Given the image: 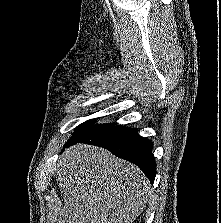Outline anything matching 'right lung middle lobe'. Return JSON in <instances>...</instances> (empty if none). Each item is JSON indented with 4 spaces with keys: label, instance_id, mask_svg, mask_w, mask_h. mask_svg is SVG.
<instances>
[{
    "label": "right lung middle lobe",
    "instance_id": "right-lung-middle-lobe-1",
    "mask_svg": "<svg viewBox=\"0 0 221 223\" xmlns=\"http://www.w3.org/2000/svg\"><path fill=\"white\" fill-rule=\"evenodd\" d=\"M93 122H94V120H88V121L82 123L81 125H79L76 128L75 132L73 133V136L67 141V143H70L71 141H74L79 138H83L89 134L96 132L97 130L104 129V128L112 125V123H109V124H101V125L94 126Z\"/></svg>",
    "mask_w": 221,
    "mask_h": 223
}]
</instances>
